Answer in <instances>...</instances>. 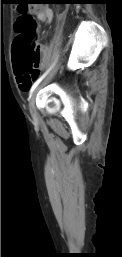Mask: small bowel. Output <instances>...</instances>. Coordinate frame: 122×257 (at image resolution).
<instances>
[{
  "label": "small bowel",
  "instance_id": "1",
  "mask_svg": "<svg viewBox=\"0 0 122 257\" xmlns=\"http://www.w3.org/2000/svg\"><path fill=\"white\" fill-rule=\"evenodd\" d=\"M33 13L37 17V19L41 22L51 23V21L53 19V11L48 6H37V7H35V10H33ZM42 50L46 57L47 56V48L43 47ZM31 81H32V78L30 80H26L25 78L17 75V82H18L20 90H22V91H26L29 88Z\"/></svg>",
  "mask_w": 122,
  "mask_h": 257
}]
</instances>
